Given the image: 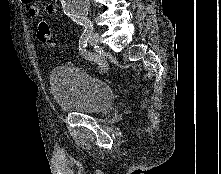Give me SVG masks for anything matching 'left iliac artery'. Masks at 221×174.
<instances>
[{
    "label": "left iliac artery",
    "instance_id": "obj_1",
    "mask_svg": "<svg viewBox=\"0 0 221 174\" xmlns=\"http://www.w3.org/2000/svg\"><path fill=\"white\" fill-rule=\"evenodd\" d=\"M79 23L80 25L84 26V31L79 39L80 54L85 59L98 64L101 72L106 73L109 69L108 61L103 56L86 50L87 41L93 32L92 22L87 18H83Z\"/></svg>",
    "mask_w": 221,
    "mask_h": 174
}]
</instances>
